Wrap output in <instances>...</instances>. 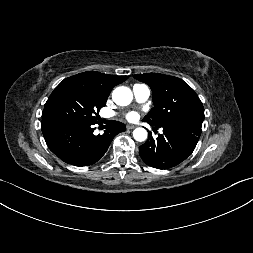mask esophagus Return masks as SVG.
<instances>
[{"label": "esophagus", "instance_id": "1", "mask_svg": "<svg viewBox=\"0 0 253 253\" xmlns=\"http://www.w3.org/2000/svg\"><path fill=\"white\" fill-rule=\"evenodd\" d=\"M136 126L135 125H127V129L128 130H132V129H134Z\"/></svg>", "mask_w": 253, "mask_h": 253}]
</instances>
